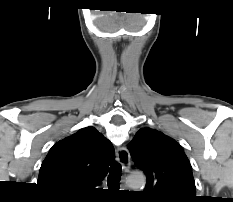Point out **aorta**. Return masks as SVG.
<instances>
[{
  "label": "aorta",
  "mask_w": 233,
  "mask_h": 202,
  "mask_svg": "<svg viewBox=\"0 0 233 202\" xmlns=\"http://www.w3.org/2000/svg\"><path fill=\"white\" fill-rule=\"evenodd\" d=\"M128 186L132 189H137L145 185V177L141 174L131 175L128 178Z\"/></svg>",
  "instance_id": "1"
}]
</instances>
